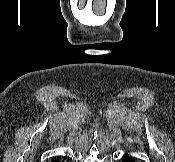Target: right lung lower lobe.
<instances>
[{
    "instance_id": "obj_1",
    "label": "right lung lower lobe",
    "mask_w": 175,
    "mask_h": 162,
    "mask_svg": "<svg viewBox=\"0 0 175 162\" xmlns=\"http://www.w3.org/2000/svg\"><path fill=\"white\" fill-rule=\"evenodd\" d=\"M53 162H59V160L54 159Z\"/></svg>"
}]
</instances>
